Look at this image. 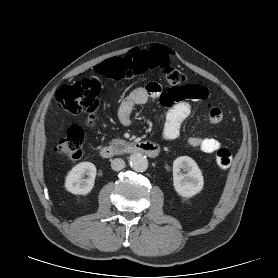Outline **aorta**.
<instances>
[{"label": "aorta", "mask_w": 278, "mask_h": 278, "mask_svg": "<svg viewBox=\"0 0 278 278\" xmlns=\"http://www.w3.org/2000/svg\"><path fill=\"white\" fill-rule=\"evenodd\" d=\"M130 166L136 172H145L148 168V160L141 153H134L129 157Z\"/></svg>", "instance_id": "762f6f07"}]
</instances>
